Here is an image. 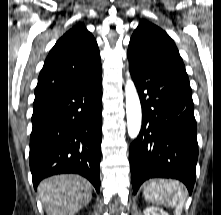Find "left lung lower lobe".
Masks as SVG:
<instances>
[{
  "label": "left lung lower lobe",
  "instance_id": "1",
  "mask_svg": "<svg viewBox=\"0 0 221 215\" xmlns=\"http://www.w3.org/2000/svg\"><path fill=\"white\" fill-rule=\"evenodd\" d=\"M129 62L143 112L129 151L133 191L149 178L163 177L182 181L191 194L198 144L188 76L168 66Z\"/></svg>",
  "mask_w": 221,
  "mask_h": 215
}]
</instances>
